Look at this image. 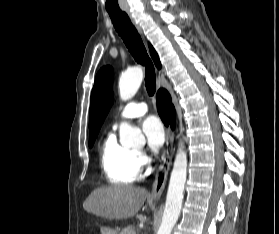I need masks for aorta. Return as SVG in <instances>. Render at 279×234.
Wrapping results in <instances>:
<instances>
[{"label":"aorta","mask_w":279,"mask_h":234,"mask_svg":"<svg viewBox=\"0 0 279 234\" xmlns=\"http://www.w3.org/2000/svg\"><path fill=\"white\" fill-rule=\"evenodd\" d=\"M142 79L143 71L140 67H134L122 73L119 79L120 98L124 101L131 99L138 91ZM142 141H144V136L140 129L128 123L120 125V142L123 146L132 147ZM186 176L187 154L183 143L180 142L170 176L162 222L157 234H171L180 215Z\"/></svg>","instance_id":"762f6f07"}]
</instances>
